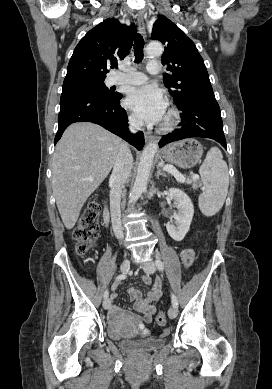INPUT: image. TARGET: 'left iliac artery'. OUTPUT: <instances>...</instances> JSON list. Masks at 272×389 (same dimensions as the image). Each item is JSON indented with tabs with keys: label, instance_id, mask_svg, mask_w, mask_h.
Segmentation results:
<instances>
[{
	"label": "left iliac artery",
	"instance_id": "1",
	"mask_svg": "<svg viewBox=\"0 0 272 389\" xmlns=\"http://www.w3.org/2000/svg\"><path fill=\"white\" fill-rule=\"evenodd\" d=\"M155 264H156V266H157V268L160 270V271H163V269H164V264H163V262L160 260V259H157L156 261H155ZM171 301H172V305H173V307H178V301H177V298H176V296L174 295V294H171Z\"/></svg>",
	"mask_w": 272,
	"mask_h": 389
}]
</instances>
